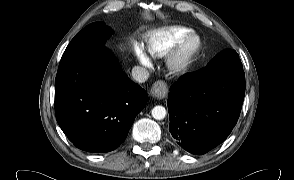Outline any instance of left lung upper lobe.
I'll return each instance as SVG.
<instances>
[{
    "label": "left lung upper lobe",
    "mask_w": 294,
    "mask_h": 180,
    "mask_svg": "<svg viewBox=\"0 0 294 180\" xmlns=\"http://www.w3.org/2000/svg\"><path fill=\"white\" fill-rule=\"evenodd\" d=\"M215 65H242V63L239 59V55L235 50L226 49L217 54L205 68Z\"/></svg>",
    "instance_id": "obj_1"
}]
</instances>
